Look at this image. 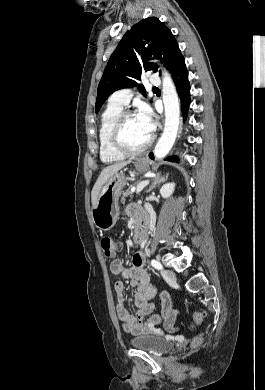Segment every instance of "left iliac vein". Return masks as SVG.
Instances as JSON below:
<instances>
[{
  "instance_id": "obj_1",
  "label": "left iliac vein",
  "mask_w": 265,
  "mask_h": 390,
  "mask_svg": "<svg viewBox=\"0 0 265 390\" xmlns=\"http://www.w3.org/2000/svg\"><path fill=\"white\" fill-rule=\"evenodd\" d=\"M161 275L168 283L176 282V275L172 270H162Z\"/></svg>"
}]
</instances>
